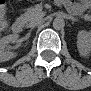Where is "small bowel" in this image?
Here are the masks:
<instances>
[{
	"label": "small bowel",
	"mask_w": 91,
	"mask_h": 91,
	"mask_svg": "<svg viewBox=\"0 0 91 91\" xmlns=\"http://www.w3.org/2000/svg\"><path fill=\"white\" fill-rule=\"evenodd\" d=\"M6 24H7L6 12H5V9H3V13L0 14V27H1V29L5 30L7 28Z\"/></svg>",
	"instance_id": "1"
}]
</instances>
